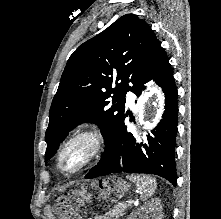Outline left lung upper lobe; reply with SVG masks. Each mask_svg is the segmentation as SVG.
Instances as JSON below:
<instances>
[{
	"instance_id": "1",
	"label": "left lung upper lobe",
	"mask_w": 221,
	"mask_h": 219,
	"mask_svg": "<svg viewBox=\"0 0 221 219\" xmlns=\"http://www.w3.org/2000/svg\"><path fill=\"white\" fill-rule=\"evenodd\" d=\"M159 46L144 20L126 14L77 48L51 104L46 160L71 129L86 121L100 127L107 145L125 115L126 93L135 92Z\"/></svg>"
}]
</instances>
